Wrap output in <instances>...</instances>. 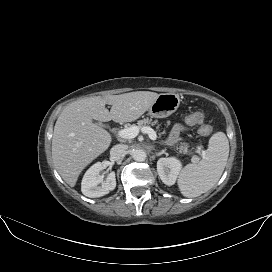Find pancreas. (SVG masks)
<instances>
[{
    "label": "pancreas",
    "mask_w": 272,
    "mask_h": 272,
    "mask_svg": "<svg viewBox=\"0 0 272 272\" xmlns=\"http://www.w3.org/2000/svg\"><path fill=\"white\" fill-rule=\"evenodd\" d=\"M149 124L152 125V126L156 125L157 121L151 122V120H149V119H143V120L138 121L137 127L141 128L142 126H146V125H149ZM161 134H164V132H162ZM188 148H189V145L187 143H182L178 147V150H179L180 153H187Z\"/></svg>",
    "instance_id": "obj_1"
}]
</instances>
